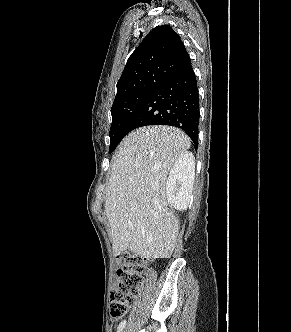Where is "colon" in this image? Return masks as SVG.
<instances>
[{
	"label": "colon",
	"instance_id": "colon-1",
	"mask_svg": "<svg viewBox=\"0 0 291 332\" xmlns=\"http://www.w3.org/2000/svg\"><path fill=\"white\" fill-rule=\"evenodd\" d=\"M120 258L122 265L116 272L110 297V311L114 318L122 317L134 304L146 272L143 257L125 253Z\"/></svg>",
	"mask_w": 291,
	"mask_h": 332
}]
</instances>
